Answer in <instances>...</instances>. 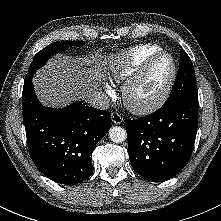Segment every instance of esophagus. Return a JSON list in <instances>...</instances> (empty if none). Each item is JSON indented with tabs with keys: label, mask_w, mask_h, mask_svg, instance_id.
<instances>
[{
	"label": "esophagus",
	"mask_w": 221,
	"mask_h": 221,
	"mask_svg": "<svg viewBox=\"0 0 221 221\" xmlns=\"http://www.w3.org/2000/svg\"><path fill=\"white\" fill-rule=\"evenodd\" d=\"M111 119L115 124H121L123 122V117L118 112H112Z\"/></svg>",
	"instance_id": "34e87169"
}]
</instances>
